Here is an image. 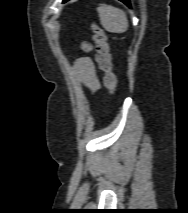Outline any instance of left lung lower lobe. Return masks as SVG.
Masks as SVG:
<instances>
[{
	"instance_id": "0a47b994",
	"label": "left lung lower lobe",
	"mask_w": 188,
	"mask_h": 213,
	"mask_svg": "<svg viewBox=\"0 0 188 213\" xmlns=\"http://www.w3.org/2000/svg\"><path fill=\"white\" fill-rule=\"evenodd\" d=\"M63 1L66 2V1H68V0H63ZM120 1H122V2L125 3L127 6L130 7V2H129V0H120Z\"/></svg>"
}]
</instances>
